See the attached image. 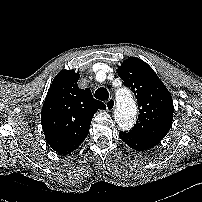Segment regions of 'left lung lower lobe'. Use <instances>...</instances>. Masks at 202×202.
Masks as SVG:
<instances>
[{
	"mask_svg": "<svg viewBox=\"0 0 202 202\" xmlns=\"http://www.w3.org/2000/svg\"><path fill=\"white\" fill-rule=\"evenodd\" d=\"M119 137L122 139L128 146L137 150L143 151L155 147L160 143L161 140L150 137H143L133 134L132 132H119Z\"/></svg>",
	"mask_w": 202,
	"mask_h": 202,
	"instance_id": "left-lung-lower-lobe-1",
	"label": "left lung lower lobe"
}]
</instances>
